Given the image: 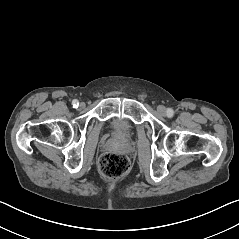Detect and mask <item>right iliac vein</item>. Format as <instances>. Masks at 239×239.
Returning a JSON list of instances; mask_svg holds the SVG:
<instances>
[{"label": "right iliac vein", "mask_w": 239, "mask_h": 239, "mask_svg": "<svg viewBox=\"0 0 239 239\" xmlns=\"http://www.w3.org/2000/svg\"><path fill=\"white\" fill-rule=\"evenodd\" d=\"M79 107L82 109L85 107V104L84 103H80Z\"/></svg>", "instance_id": "63e3f726"}]
</instances>
